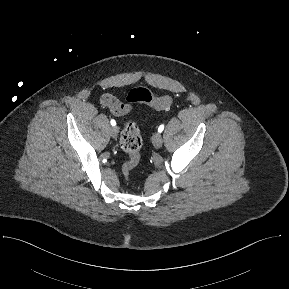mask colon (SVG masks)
Masks as SVG:
<instances>
[{"label":"colon","instance_id":"colon-1","mask_svg":"<svg viewBox=\"0 0 289 289\" xmlns=\"http://www.w3.org/2000/svg\"><path fill=\"white\" fill-rule=\"evenodd\" d=\"M127 100L130 103H144L156 109H165L171 104V97L157 96L146 88H137L130 91ZM122 148L129 154V159L122 167L123 175L128 178L133 168L137 166L140 160V148L142 139L138 124L135 120L126 121L120 140Z\"/></svg>","mask_w":289,"mask_h":289}]
</instances>
